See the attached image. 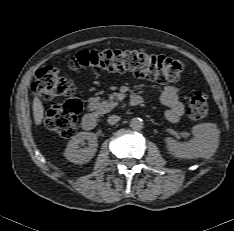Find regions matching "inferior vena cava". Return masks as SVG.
<instances>
[{
	"instance_id": "obj_1",
	"label": "inferior vena cava",
	"mask_w": 234,
	"mask_h": 231,
	"mask_svg": "<svg viewBox=\"0 0 234 231\" xmlns=\"http://www.w3.org/2000/svg\"><path fill=\"white\" fill-rule=\"evenodd\" d=\"M120 120V117L117 115H111L108 117V123L111 125L116 124Z\"/></svg>"
}]
</instances>
